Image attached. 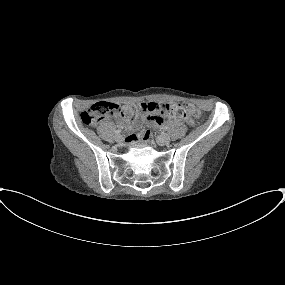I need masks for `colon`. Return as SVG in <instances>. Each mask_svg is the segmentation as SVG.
I'll return each instance as SVG.
<instances>
[{"mask_svg": "<svg viewBox=\"0 0 285 285\" xmlns=\"http://www.w3.org/2000/svg\"><path fill=\"white\" fill-rule=\"evenodd\" d=\"M148 113V109L144 105L138 106H117L110 102H97L81 113V121L88 126H95L101 121L117 117L127 120L134 119L140 114ZM168 116L170 117H200L201 112L187 103H173L169 106ZM133 137H128L127 141H132Z\"/></svg>", "mask_w": 285, "mask_h": 285, "instance_id": "5ec220e1", "label": "colon"}]
</instances>
